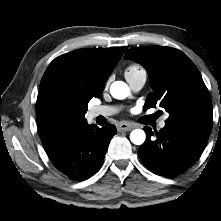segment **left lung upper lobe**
<instances>
[{"label":"left lung upper lobe","mask_w":221,"mask_h":221,"mask_svg":"<svg viewBox=\"0 0 221 221\" xmlns=\"http://www.w3.org/2000/svg\"><path fill=\"white\" fill-rule=\"evenodd\" d=\"M125 59L142 64L149 72L154 93L147 104L159 103L170 113L167 126L187 130L206 140L212 129V104L208 90L193 62L180 50L148 46L129 49Z\"/></svg>","instance_id":"5c2ea615"}]
</instances>
